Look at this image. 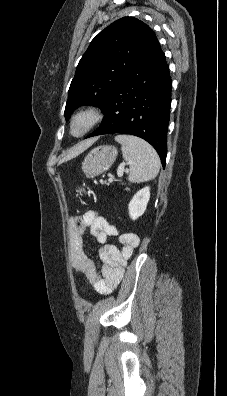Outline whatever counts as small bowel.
<instances>
[{
	"label": "small bowel",
	"instance_id": "obj_1",
	"mask_svg": "<svg viewBox=\"0 0 227 396\" xmlns=\"http://www.w3.org/2000/svg\"><path fill=\"white\" fill-rule=\"evenodd\" d=\"M70 227L69 248L75 269L86 277L97 292L109 294L122 280L127 262L140 244L139 236L131 232L120 234L114 225L96 211H88L71 218ZM86 229H89L101 244L98 251L100 272L84 250ZM109 237H118L122 248L108 243Z\"/></svg>",
	"mask_w": 227,
	"mask_h": 396
}]
</instances>
